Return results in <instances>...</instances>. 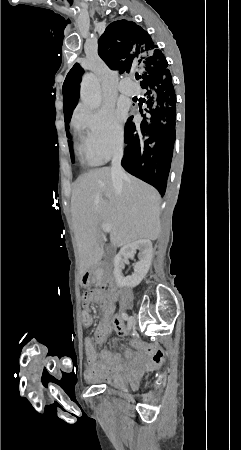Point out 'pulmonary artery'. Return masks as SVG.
Returning a JSON list of instances; mask_svg holds the SVG:
<instances>
[{
  "label": "pulmonary artery",
  "instance_id": "1",
  "mask_svg": "<svg viewBox=\"0 0 241 450\" xmlns=\"http://www.w3.org/2000/svg\"><path fill=\"white\" fill-rule=\"evenodd\" d=\"M133 86V79L132 78H121L120 84L118 85V90L120 92H127L129 90V87Z\"/></svg>",
  "mask_w": 241,
  "mask_h": 450
}]
</instances>
